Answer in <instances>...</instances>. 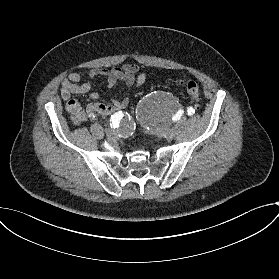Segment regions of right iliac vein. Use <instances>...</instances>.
I'll use <instances>...</instances> for the list:
<instances>
[{
    "mask_svg": "<svg viewBox=\"0 0 279 279\" xmlns=\"http://www.w3.org/2000/svg\"><path fill=\"white\" fill-rule=\"evenodd\" d=\"M106 133L110 136V137H114V130L112 129H106Z\"/></svg>",
    "mask_w": 279,
    "mask_h": 279,
    "instance_id": "63e3f726",
    "label": "right iliac vein"
}]
</instances>
